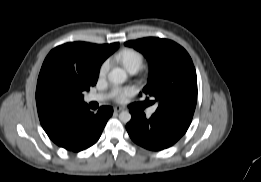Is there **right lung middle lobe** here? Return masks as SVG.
<instances>
[{"mask_svg":"<svg viewBox=\"0 0 261 182\" xmlns=\"http://www.w3.org/2000/svg\"><path fill=\"white\" fill-rule=\"evenodd\" d=\"M59 82H61V83H67L68 81L61 77V78H59Z\"/></svg>","mask_w":261,"mask_h":182,"instance_id":"obj_1","label":"right lung middle lobe"}]
</instances>
